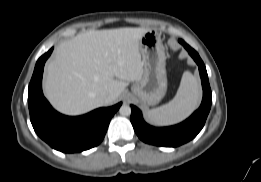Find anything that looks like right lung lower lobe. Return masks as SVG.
<instances>
[{"label": "right lung lower lobe", "mask_w": 261, "mask_h": 182, "mask_svg": "<svg viewBox=\"0 0 261 182\" xmlns=\"http://www.w3.org/2000/svg\"><path fill=\"white\" fill-rule=\"evenodd\" d=\"M52 51L53 48L38 59L29 84L28 106L32 126L41 139L61 152H81L95 147L103 140L121 103L77 117L55 111L43 96L41 86L44 64Z\"/></svg>", "instance_id": "right-lung-lower-lobe-1"}]
</instances>
